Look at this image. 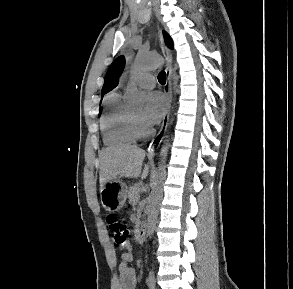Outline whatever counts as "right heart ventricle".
<instances>
[{
	"label": "right heart ventricle",
	"mask_w": 293,
	"mask_h": 289,
	"mask_svg": "<svg viewBox=\"0 0 293 289\" xmlns=\"http://www.w3.org/2000/svg\"><path fill=\"white\" fill-rule=\"evenodd\" d=\"M101 120L103 140L106 145L117 146L136 140L133 132L132 113L123 103L118 91L107 95Z\"/></svg>",
	"instance_id": "right-heart-ventricle-1"
}]
</instances>
